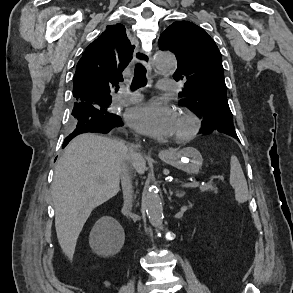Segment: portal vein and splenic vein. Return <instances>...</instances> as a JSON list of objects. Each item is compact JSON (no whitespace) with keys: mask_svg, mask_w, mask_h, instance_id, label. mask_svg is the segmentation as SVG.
<instances>
[{"mask_svg":"<svg viewBox=\"0 0 293 293\" xmlns=\"http://www.w3.org/2000/svg\"><path fill=\"white\" fill-rule=\"evenodd\" d=\"M198 183L196 182H185L181 184V187L188 188V187H197Z\"/></svg>","mask_w":293,"mask_h":293,"instance_id":"portal-vein-and-splenic-vein-1","label":"portal vein and splenic vein"}]
</instances>
